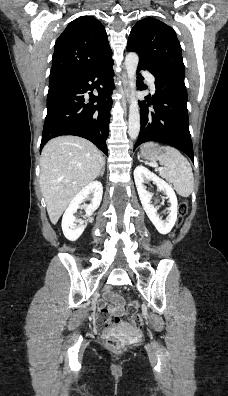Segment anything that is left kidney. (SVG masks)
<instances>
[{"mask_svg": "<svg viewBox=\"0 0 228 396\" xmlns=\"http://www.w3.org/2000/svg\"><path fill=\"white\" fill-rule=\"evenodd\" d=\"M134 179L140 201L147 216L154 224V226L156 227L159 233L161 234L169 233L173 228V226L175 225V222L177 220V212H178L177 197L173 188L164 180L156 176L154 173H152L142 165H139L135 168ZM150 180L153 181V183L157 186L159 191H163L167 195V198H169V202L171 206L169 208L170 212L166 220H162L159 217V215L157 214V208L154 207L153 204H151V199L153 194L148 192L146 190V187L144 186V183Z\"/></svg>", "mask_w": 228, "mask_h": 396, "instance_id": "5707ae66", "label": "left kidney"}]
</instances>
